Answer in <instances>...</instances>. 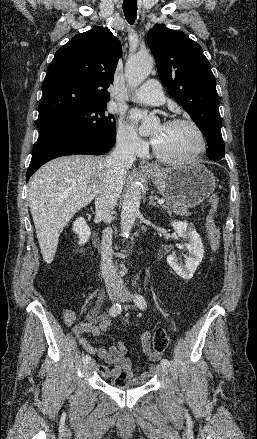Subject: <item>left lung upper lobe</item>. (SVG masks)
Here are the masks:
<instances>
[{"mask_svg": "<svg viewBox=\"0 0 257 439\" xmlns=\"http://www.w3.org/2000/svg\"><path fill=\"white\" fill-rule=\"evenodd\" d=\"M147 43L161 81L205 136L209 159L225 157L216 82L201 46L160 24L150 29Z\"/></svg>", "mask_w": 257, "mask_h": 439, "instance_id": "left-lung-upper-lobe-1", "label": "left lung upper lobe"}]
</instances>
